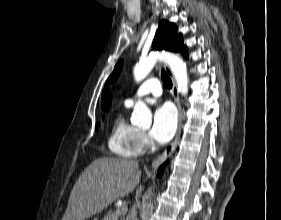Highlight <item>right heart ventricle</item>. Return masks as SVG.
Masks as SVG:
<instances>
[{
	"instance_id": "right-heart-ventricle-1",
	"label": "right heart ventricle",
	"mask_w": 281,
	"mask_h": 220,
	"mask_svg": "<svg viewBox=\"0 0 281 220\" xmlns=\"http://www.w3.org/2000/svg\"><path fill=\"white\" fill-rule=\"evenodd\" d=\"M108 147L111 152L122 157H136L143 150L140 144V131L130 124L122 114L114 120L108 139Z\"/></svg>"
}]
</instances>
